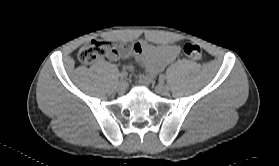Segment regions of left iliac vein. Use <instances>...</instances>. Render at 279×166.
I'll list each match as a JSON object with an SVG mask.
<instances>
[{
    "label": "left iliac vein",
    "instance_id": "1",
    "mask_svg": "<svg viewBox=\"0 0 279 166\" xmlns=\"http://www.w3.org/2000/svg\"><path fill=\"white\" fill-rule=\"evenodd\" d=\"M156 91L157 93L161 94V95H168L169 94V88L167 85H165L164 83L160 82L157 86H156Z\"/></svg>",
    "mask_w": 279,
    "mask_h": 166
}]
</instances>
